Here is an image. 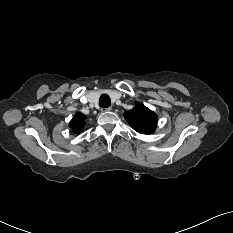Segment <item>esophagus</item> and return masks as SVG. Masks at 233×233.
<instances>
[{
    "instance_id": "1",
    "label": "esophagus",
    "mask_w": 233,
    "mask_h": 233,
    "mask_svg": "<svg viewBox=\"0 0 233 233\" xmlns=\"http://www.w3.org/2000/svg\"><path fill=\"white\" fill-rule=\"evenodd\" d=\"M112 110V108L111 107H108V108H102L101 109V111L102 112H109V111H111Z\"/></svg>"
}]
</instances>
